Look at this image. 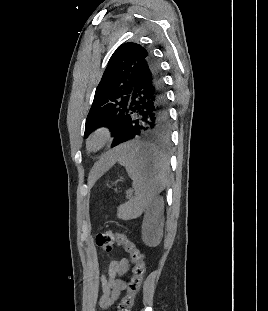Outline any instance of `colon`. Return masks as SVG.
<instances>
[{
  "mask_svg": "<svg viewBox=\"0 0 268 311\" xmlns=\"http://www.w3.org/2000/svg\"><path fill=\"white\" fill-rule=\"evenodd\" d=\"M96 243L103 252H110L114 245H119L129 254L133 263V275L127 285L126 295L118 306V311H131L138 294L145 272L143 255L127 235L113 230H106L97 235Z\"/></svg>",
  "mask_w": 268,
  "mask_h": 311,
  "instance_id": "colon-1",
  "label": "colon"
}]
</instances>
